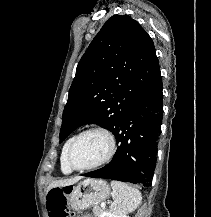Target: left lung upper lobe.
I'll list each match as a JSON object with an SVG mask.
<instances>
[{
  "label": "left lung upper lobe",
  "mask_w": 211,
  "mask_h": 217,
  "mask_svg": "<svg viewBox=\"0 0 211 217\" xmlns=\"http://www.w3.org/2000/svg\"><path fill=\"white\" fill-rule=\"evenodd\" d=\"M159 75L153 40L141 25L128 15L109 18L78 63L63 111L60 143L84 124L113 133Z\"/></svg>",
  "instance_id": "left-lung-upper-lobe-1"
}]
</instances>
